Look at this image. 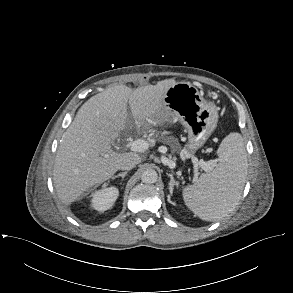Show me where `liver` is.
<instances>
[{"instance_id":"1","label":"liver","mask_w":293,"mask_h":293,"mask_svg":"<svg viewBox=\"0 0 293 293\" xmlns=\"http://www.w3.org/2000/svg\"><path fill=\"white\" fill-rule=\"evenodd\" d=\"M174 79L135 90L118 85L98 93L78 110L64 132L57 150L53 183L60 201L69 205L85 191L110 179L129 157L137 164L136 152L116 153L111 144L127 126V104L138 126L151 132L155 120L163 115V99Z\"/></svg>"}]
</instances>
